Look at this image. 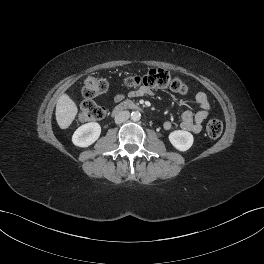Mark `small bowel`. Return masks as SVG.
Instances as JSON below:
<instances>
[{
    "label": "small bowel",
    "mask_w": 264,
    "mask_h": 264,
    "mask_svg": "<svg viewBox=\"0 0 264 264\" xmlns=\"http://www.w3.org/2000/svg\"><path fill=\"white\" fill-rule=\"evenodd\" d=\"M149 94V90L143 87L132 90L129 93L130 97H140ZM124 96L122 94H117L114 97V102L119 103L122 101ZM195 101L199 106V110L194 113L191 110H186L181 115L180 127L183 130L189 131L193 134H199L202 130V126L209 115L211 104L204 92H196L194 95ZM163 128L165 130H170L172 128L171 121H165L163 123Z\"/></svg>",
    "instance_id": "1"
}]
</instances>
